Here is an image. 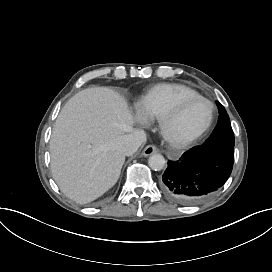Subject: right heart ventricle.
I'll use <instances>...</instances> for the list:
<instances>
[{"label":"right heart ventricle","instance_id":"obj_1","mask_svg":"<svg viewBox=\"0 0 272 272\" xmlns=\"http://www.w3.org/2000/svg\"><path fill=\"white\" fill-rule=\"evenodd\" d=\"M196 94L195 90L182 85H158L144 98L141 110L151 117L169 115L183 98Z\"/></svg>","mask_w":272,"mask_h":272}]
</instances>
